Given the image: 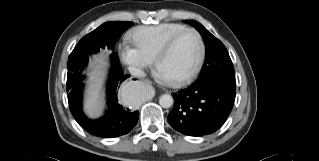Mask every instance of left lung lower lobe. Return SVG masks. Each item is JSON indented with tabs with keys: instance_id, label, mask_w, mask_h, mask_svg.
<instances>
[{
	"instance_id": "obj_1",
	"label": "left lung lower lobe",
	"mask_w": 319,
	"mask_h": 161,
	"mask_svg": "<svg viewBox=\"0 0 319 161\" xmlns=\"http://www.w3.org/2000/svg\"><path fill=\"white\" fill-rule=\"evenodd\" d=\"M174 106L168 122L178 132L202 136L215 132L226 121L234 104L235 86L220 81L194 82L172 93Z\"/></svg>"
}]
</instances>
